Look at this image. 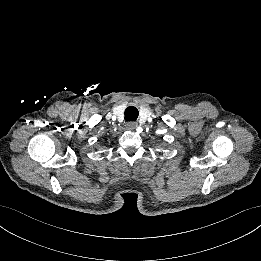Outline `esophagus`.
I'll return each instance as SVG.
<instances>
[{"label": "esophagus", "instance_id": "34e87169", "mask_svg": "<svg viewBox=\"0 0 261 261\" xmlns=\"http://www.w3.org/2000/svg\"><path fill=\"white\" fill-rule=\"evenodd\" d=\"M137 126H138V123L134 122V121H129L126 124L127 129H130V130L135 129Z\"/></svg>", "mask_w": 261, "mask_h": 261}]
</instances>
